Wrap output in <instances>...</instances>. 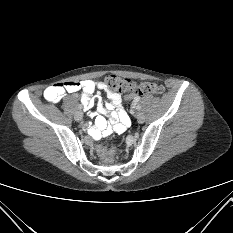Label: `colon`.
Returning a JSON list of instances; mask_svg holds the SVG:
<instances>
[{"label":"colon","instance_id":"5ec220e1","mask_svg":"<svg viewBox=\"0 0 233 233\" xmlns=\"http://www.w3.org/2000/svg\"><path fill=\"white\" fill-rule=\"evenodd\" d=\"M103 82L111 92L124 94L128 98L145 94L160 95L164 92L163 86L154 82L135 83L116 75L105 77ZM96 152L106 163L114 160L115 150L113 148L97 145Z\"/></svg>","mask_w":233,"mask_h":233}]
</instances>
